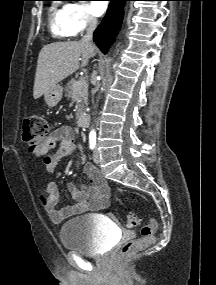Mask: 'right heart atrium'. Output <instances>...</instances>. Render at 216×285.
<instances>
[{
	"label": "right heart atrium",
	"instance_id": "d8ad5b80",
	"mask_svg": "<svg viewBox=\"0 0 216 285\" xmlns=\"http://www.w3.org/2000/svg\"><path fill=\"white\" fill-rule=\"evenodd\" d=\"M68 25L73 35L94 27L97 23L91 8L84 2H70L66 5Z\"/></svg>",
	"mask_w": 216,
	"mask_h": 285
}]
</instances>
